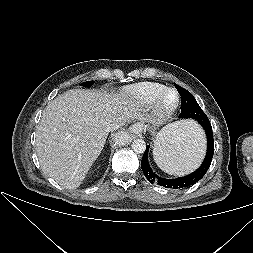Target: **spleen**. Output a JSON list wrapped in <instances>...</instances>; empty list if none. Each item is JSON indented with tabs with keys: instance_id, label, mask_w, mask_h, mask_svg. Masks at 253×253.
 Instances as JSON below:
<instances>
[{
	"instance_id": "1",
	"label": "spleen",
	"mask_w": 253,
	"mask_h": 253,
	"mask_svg": "<svg viewBox=\"0 0 253 253\" xmlns=\"http://www.w3.org/2000/svg\"><path fill=\"white\" fill-rule=\"evenodd\" d=\"M203 130L193 121H182L164 127L156 136L153 158L158 167L173 175L195 170L205 153Z\"/></svg>"
}]
</instances>
